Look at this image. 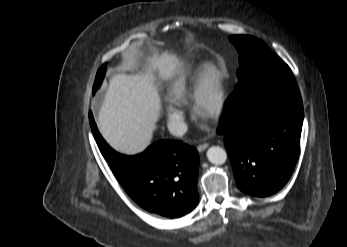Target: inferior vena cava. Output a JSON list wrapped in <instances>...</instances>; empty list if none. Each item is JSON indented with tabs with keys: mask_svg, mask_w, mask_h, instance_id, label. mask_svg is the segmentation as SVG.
<instances>
[{
	"mask_svg": "<svg viewBox=\"0 0 347 247\" xmlns=\"http://www.w3.org/2000/svg\"><path fill=\"white\" fill-rule=\"evenodd\" d=\"M167 126L169 132L176 137H181L187 132V124L184 121L171 120Z\"/></svg>",
	"mask_w": 347,
	"mask_h": 247,
	"instance_id": "602c4592",
	"label": "inferior vena cava"
}]
</instances>
